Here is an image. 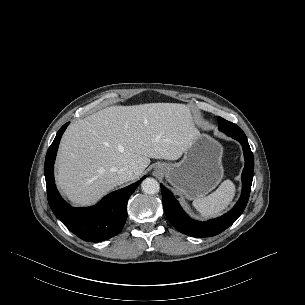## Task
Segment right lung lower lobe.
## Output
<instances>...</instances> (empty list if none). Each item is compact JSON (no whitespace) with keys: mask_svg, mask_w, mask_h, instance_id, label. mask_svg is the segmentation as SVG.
I'll return each mask as SVG.
<instances>
[{"mask_svg":"<svg viewBox=\"0 0 305 305\" xmlns=\"http://www.w3.org/2000/svg\"><path fill=\"white\" fill-rule=\"evenodd\" d=\"M69 123L58 131L49 147L44 166L49 205L56 217L74 234L87 242H101L117 235L127 219V202L137 185L145 179L103 198L98 204L88 208H72L59 195L54 181V161L60 139Z\"/></svg>","mask_w":305,"mask_h":305,"instance_id":"1","label":"right lung lower lobe"}]
</instances>
